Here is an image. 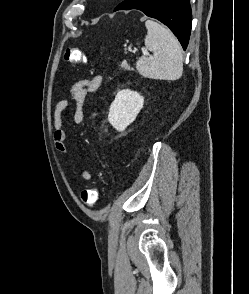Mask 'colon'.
I'll list each match as a JSON object with an SVG mask.
<instances>
[{
	"instance_id": "obj_1",
	"label": "colon",
	"mask_w": 249,
	"mask_h": 294,
	"mask_svg": "<svg viewBox=\"0 0 249 294\" xmlns=\"http://www.w3.org/2000/svg\"><path fill=\"white\" fill-rule=\"evenodd\" d=\"M64 58L71 64H79L84 62L83 52L76 47H69L66 49ZM99 193L95 188L85 189L81 192V201L87 206H91L96 203Z\"/></svg>"
}]
</instances>
